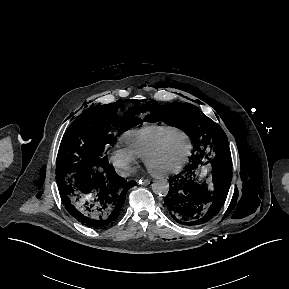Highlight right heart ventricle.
Wrapping results in <instances>:
<instances>
[{"label": "right heart ventricle", "instance_id": "1", "mask_svg": "<svg viewBox=\"0 0 289 289\" xmlns=\"http://www.w3.org/2000/svg\"><path fill=\"white\" fill-rule=\"evenodd\" d=\"M176 130L167 125H146L126 132L120 141L137 157H142L149 148Z\"/></svg>", "mask_w": 289, "mask_h": 289}]
</instances>
